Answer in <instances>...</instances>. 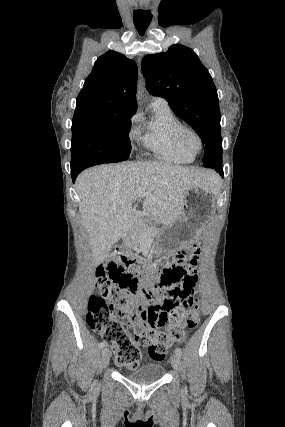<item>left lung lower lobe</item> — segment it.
<instances>
[{
	"label": "left lung lower lobe",
	"mask_w": 285,
	"mask_h": 427,
	"mask_svg": "<svg viewBox=\"0 0 285 427\" xmlns=\"http://www.w3.org/2000/svg\"><path fill=\"white\" fill-rule=\"evenodd\" d=\"M216 171L223 176V169H222V164H219L218 166H216Z\"/></svg>",
	"instance_id": "0a47b994"
}]
</instances>
